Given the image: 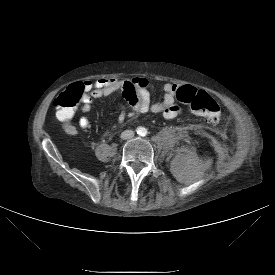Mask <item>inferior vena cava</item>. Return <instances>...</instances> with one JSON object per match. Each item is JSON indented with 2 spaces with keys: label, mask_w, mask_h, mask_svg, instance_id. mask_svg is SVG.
<instances>
[{
  "label": "inferior vena cava",
  "mask_w": 275,
  "mask_h": 275,
  "mask_svg": "<svg viewBox=\"0 0 275 275\" xmlns=\"http://www.w3.org/2000/svg\"><path fill=\"white\" fill-rule=\"evenodd\" d=\"M132 137H134V131H132V130H125L121 133L122 139L126 140V139H130Z\"/></svg>",
  "instance_id": "602c4592"
}]
</instances>
